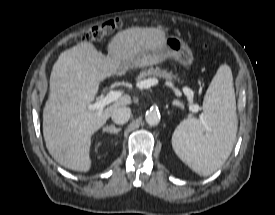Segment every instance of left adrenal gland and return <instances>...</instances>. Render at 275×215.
Returning <instances> with one entry per match:
<instances>
[{"label":"left adrenal gland","mask_w":275,"mask_h":215,"mask_svg":"<svg viewBox=\"0 0 275 215\" xmlns=\"http://www.w3.org/2000/svg\"><path fill=\"white\" fill-rule=\"evenodd\" d=\"M173 106L180 107V108L183 107L182 104L179 101H177V100L173 101Z\"/></svg>","instance_id":"1"}]
</instances>
